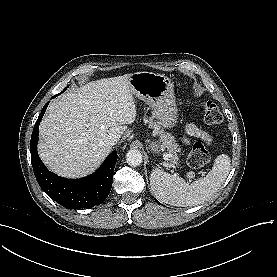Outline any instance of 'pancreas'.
Listing matches in <instances>:
<instances>
[{"label": "pancreas", "mask_w": 277, "mask_h": 277, "mask_svg": "<svg viewBox=\"0 0 277 277\" xmlns=\"http://www.w3.org/2000/svg\"><path fill=\"white\" fill-rule=\"evenodd\" d=\"M149 125L154 129L155 134L160 137L161 146L166 148L170 154L171 165L175 166L178 164V152H181V148L176 143L174 136L170 133H166L161 127L153 121V118L148 119Z\"/></svg>", "instance_id": "1"}]
</instances>
